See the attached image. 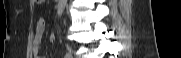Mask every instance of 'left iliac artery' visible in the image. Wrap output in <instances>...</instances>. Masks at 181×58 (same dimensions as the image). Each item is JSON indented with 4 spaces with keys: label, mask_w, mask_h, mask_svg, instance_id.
Listing matches in <instances>:
<instances>
[{
    "label": "left iliac artery",
    "mask_w": 181,
    "mask_h": 58,
    "mask_svg": "<svg viewBox=\"0 0 181 58\" xmlns=\"http://www.w3.org/2000/svg\"><path fill=\"white\" fill-rule=\"evenodd\" d=\"M65 58H72L71 53H66Z\"/></svg>",
    "instance_id": "left-iliac-artery-1"
}]
</instances>
